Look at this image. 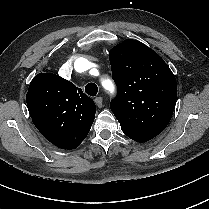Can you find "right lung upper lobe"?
I'll return each mask as SVG.
<instances>
[{
    "mask_svg": "<svg viewBox=\"0 0 209 209\" xmlns=\"http://www.w3.org/2000/svg\"><path fill=\"white\" fill-rule=\"evenodd\" d=\"M26 101L36 128L62 149L78 147L95 118L94 101L72 82L52 73L33 78Z\"/></svg>",
    "mask_w": 209,
    "mask_h": 209,
    "instance_id": "1",
    "label": "right lung upper lobe"
}]
</instances>
